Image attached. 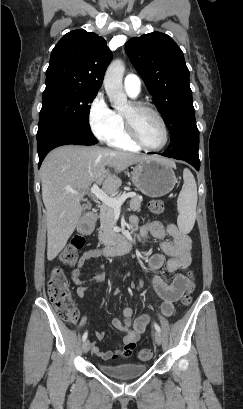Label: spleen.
Instances as JSON below:
<instances>
[{
    "instance_id": "spleen-1",
    "label": "spleen",
    "mask_w": 243,
    "mask_h": 409,
    "mask_svg": "<svg viewBox=\"0 0 243 409\" xmlns=\"http://www.w3.org/2000/svg\"><path fill=\"white\" fill-rule=\"evenodd\" d=\"M183 186L177 199L179 215L177 224L184 233H189L195 223L197 206V184L189 169L183 170Z\"/></svg>"
}]
</instances>
